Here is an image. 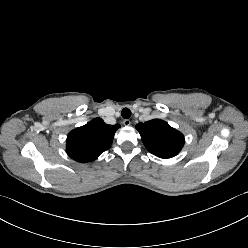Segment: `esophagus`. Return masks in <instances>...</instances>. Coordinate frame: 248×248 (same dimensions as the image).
Listing matches in <instances>:
<instances>
[{
    "label": "esophagus",
    "mask_w": 248,
    "mask_h": 248,
    "mask_svg": "<svg viewBox=\"0 0 248 248\" xmlns=\"http://www.w3.org/2000/svg\"><path fill=\"white\" fill-rule=\"evenodd\" d=\"M123 124L125 126H130L131 125V121L129 119H125V120H123Z\"/></svg>",
    "instance_id": "obj_1"
}]
</instances>
